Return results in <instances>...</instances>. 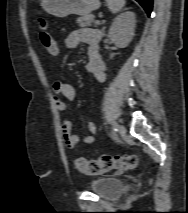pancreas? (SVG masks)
Returning a JSON list of instances; mask_svg holds the SVG:
<instances>
[{"mask_svg":"<svg viewBox=\"0 0 188 213\" xmlns=\"http://www.w3.org/2000/svg\"><path fill=\"white\" fill-rule=\"evenodd\" d=\"M77 23L81 27L97 25L94 21V15H85L77 19Z\"/></svg>","mask_w":188,"mask_h":213,"instance_id":"obj_1","label":"pancreas"}]
</instances>
